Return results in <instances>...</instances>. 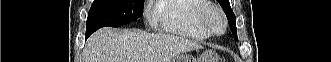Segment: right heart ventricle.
Segmentation results:
<instances>
[{
	"mask_svg": "<svg viewBox=\"0 0 331 62\" xmlns=\"http://www.w3.org/2000/svg\"><path fill=\"white\" fill-rule=\"evenodd\" d=\"M207 3L205 0H160L153 16L166 32L193 40H206L211 35L200 25L198 14Z\"/></svg>",
	"mask_w": 331,
	"mask_h": 62,
	"instance_id": "right-heart-ventricle-1",
	"label": "right heart ventricle"
}]
</instances>
